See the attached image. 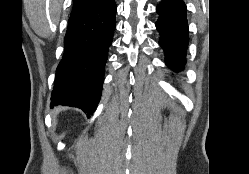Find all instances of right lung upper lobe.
I'll list each match as a JSON object with an SVG mask.
<instances>
[{"mask_svg": "<svg viewBox=\"0 0 249 174\" xmlns=\"http://www.w3.org/2000/svg\"><path fill=\"white\" fill-rule=\"evenodd\" d=\"M95 1H97V0H74L72 10L82 8L84 6H87V5L95 2Z\"/></svg>", "mask_w": 249, "mask_h": 174, "instance_id": "cb5924a9", "label": "right lung upper lobe"}]
</instances>
